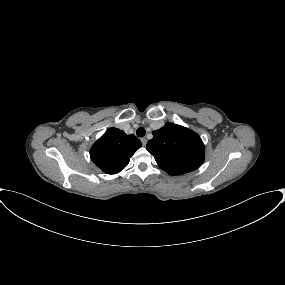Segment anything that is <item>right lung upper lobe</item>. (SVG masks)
<instances>
[{"instance_id": "right-lung-upper-lobe-1", "label": "right lung upper lobe", "mask_w": 285, "mask_h": 285, "mask_svg": "<svg viewBox=\"0 0 285 285\" xmlns=\"http://www.w3.org/2000/svg\"><path fill=\"white\" fill-rule=\"evenodd\" d=\"M142 146L134 135L109 128L90 150L91 160L107 174H116L129 163L130 157Z\"/></svg>"}]
</instances>
